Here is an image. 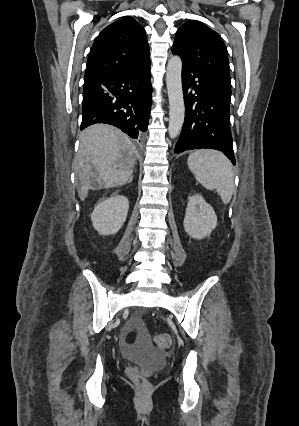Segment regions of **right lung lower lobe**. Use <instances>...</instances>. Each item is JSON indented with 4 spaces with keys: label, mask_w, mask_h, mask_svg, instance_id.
I'll use <instances>...</instances> for the list:
<instances>
[{
    "label": "right lung lower lobe",
    "mask_w": 299,
    "mask_h": 426,
    "mask_svg": "<svg viewBox=\"0 0 299 426\" xmlns=\"http://www.w3.org/2000/svg\"><path fill=\"white\" fill-rule=\"evenodd\" d=\"M152 103L150 64L100 78L84 79L81 130L95 123L141 138Z\"/></svg>",
    "instance_id": "right-lung-lower-lobe-1"
}]
</instances>
